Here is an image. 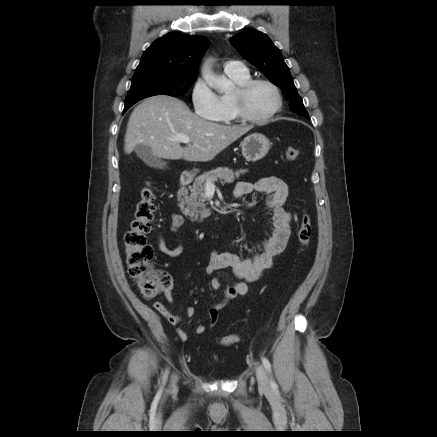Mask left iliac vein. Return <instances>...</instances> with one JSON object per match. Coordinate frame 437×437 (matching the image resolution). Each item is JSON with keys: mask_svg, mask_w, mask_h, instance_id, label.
<instances>
[{"mask_svg": "<svg viewBox=\"0 0 437 437\" xmlns=\"http://www.w3.org/2000/svg\"><path fill=\"white\" fill-rule=\"evenodd\" d=\"M256 377L259 388L264 392L271 391V385L268 379L267 372L263 365H258L256 368Z\"/></svg>", "mask_w": 437, "mask_h": 437, "instance_id": "1", "label": "left iliac vein"}]
</instances>
